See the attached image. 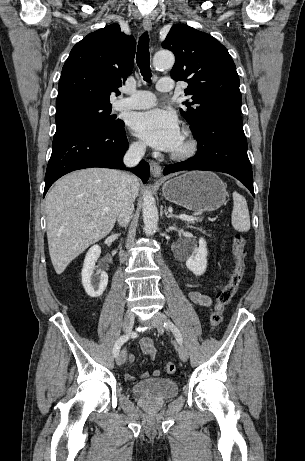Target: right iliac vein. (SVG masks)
<instances>
[{"label": "right iliac vein", "mask_w": 305, "mask_h": 461, "mask_svg": "<svg viewBox=\"0 0 305 461\" xmlns=\"http://www.w3.org/2000/svg\"><path fill=\"white\" fill-rule=\"evenodd\" d=\"M135 322V316L131 311H128L123 320V331L126 334H129L132 331V328L134 326ZM126 361V352L122 350L116 357V363L118 365H123Z\"/></svg>", "instance_id": "right-iliac-vein-1"}]
</instances>
